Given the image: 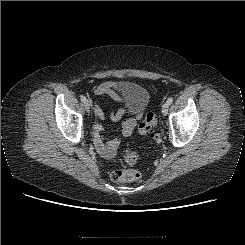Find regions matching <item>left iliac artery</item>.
Masks as SVG:
<instances>
[{
    "mask_svg": "<svg viewBox=\"0 0 245 245\" xmlns=\"http://www.w3.org/2000/svg\"><path fill=\"white\" fill-rule=\"evenodd\" d=\"M166 102H167L169 105L172 104V102H173V97L168 98V100H167Z\"/></svg>",
    "mask_w": 245,
    "mask_h": 245,
    "instance_id": "left-iliac-artery-1",
    "label": "left iliac artery"
}]
</instances>
